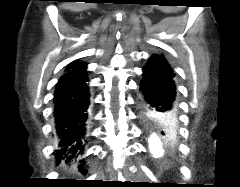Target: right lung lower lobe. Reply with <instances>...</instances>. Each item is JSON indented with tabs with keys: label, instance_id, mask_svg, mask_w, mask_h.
<instances>
[{
	"label": "right lung lower lobe",
	"instance_id": "1",
	"mask_svg": "<svg viewBox=\"0 0 240 187\" xmlns=\"http://www.w3.org/2000/svg\"><path fill=\"white\" fill-rule=\"evenodd\" d=\"M87 64L82 63L68 70L59 79L54 93V116L58 137L55 150L57 164L79 163L84 173L85 162L80 159L86 144L89 92L87 85Z\"/></svg>",
	"mask_w": 240,
	"mask_h": 187
}]
</instances>
